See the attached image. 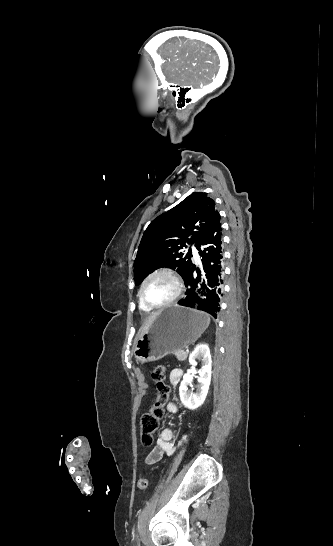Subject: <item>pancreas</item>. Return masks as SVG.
Listing matches in <instances>:
<instances>
[{
	"instance_id": "obj_1",
	"label": "pancreas",
	"mask_w": 333,
	"mask_h": 546,
	"mask_svg": "<svg viewBox=\"0 0 333 546\" xmlns=\"http://www.w3.org/2000/svg\"><path fill=\"white\" fill-rule=\"evenodd\" d=\"M173 354L176 356L178 361H184L188 356V353L182 349L173 352Z\"/></svg>"
}]
</instances>
